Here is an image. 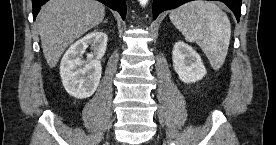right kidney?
I'll list each match as a JSON object with an SVG mask.
<instances>
[{
  "label": "right kidney",
  "mask_w": 276,
  "mask_h": 145,
  "mask_svg": "<svg viewBox=\"0 0 276 145\" xmlns=\"http://www.w3.org/2000/svg\"><path fill=\"white\" fill-rule=\"evenodd\" d=\"M107 41L106 33L94 30L66 51L60 64V76L70 96L85 99L94 94L102 74L100 60L105 54ZM89 45L93 52L87 55V59H83Z\"/></svg>",
  "instance_id": "right-kidney-1"
}]
</instances>
